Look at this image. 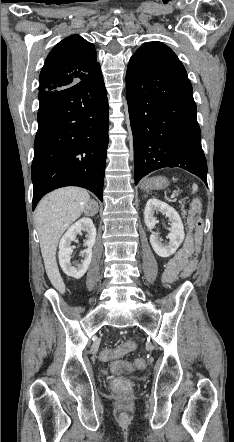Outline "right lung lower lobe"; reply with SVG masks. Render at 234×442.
<instances>
[{
  "mask_svg": "<svg viewBox=\"0 0 234 442\" xmlns=\"http://www.w3.org/2000/svg\"><path fill=\"white\" fill-rule=\"evenodd\" d=\"M38 98L32 210L64 186L86 188L102 201L109 106L101 69L68 88L40 91Z\"/></svg>",
  "mask_w": 234,
  "mask_h": 442,
  "instance_id": "1",
  "label": "right lung lower lobe"
}]
</instances>
